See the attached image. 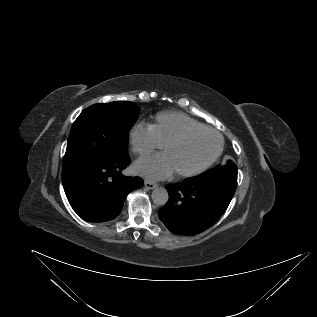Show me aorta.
Returning a JSON list of instances; mask_svg holds the SVG:
<instances>
[{"label":"aorta","mask_w":317,"mask_h":317,"mask_svg":"<svg viewBox=\"0 0 317 317\" xmlns=\"http://www.w3.org/2000/svg\"><path fill=\"white\" fill-rule=\"evenodd\" d=\"M152 200L157 205H165L168 202L169 195L165 188L163 187H157L152 192Z\"/></svg>","instance_id":"762f6f07"}]
</instances>
